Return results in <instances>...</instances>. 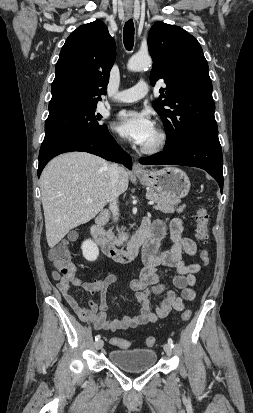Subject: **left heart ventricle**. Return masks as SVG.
I'll return each mask as SVG.
<instances>
[{
    "label": "left heart ventricle",
    "instance_id": "1",
    "mask_svg": "<svg viewBox=\"0 0 253 413\" xmlns=\"http://www.w3.org/2000/svg\"><path fill=\"white\" fill-rule=\"evenodd\" d=\"M157 139L156 131L149 137V139L145 142V146L153 144Z\"/></svg>",
    "mask_w": 253,
    "mask_h": 413
}]
</instances>
